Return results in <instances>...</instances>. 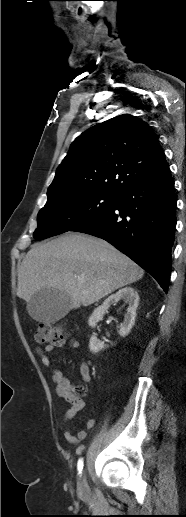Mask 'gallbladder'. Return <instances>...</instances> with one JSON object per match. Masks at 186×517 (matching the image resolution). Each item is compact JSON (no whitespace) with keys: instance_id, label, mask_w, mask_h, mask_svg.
<instances>
[{"instance_id":"gallbladder-1","label":"gallbladder","mask_w":186,"mask_h":517,"mask_svg":"<svg viewBox=\"0 0 186 517\" xmlns=\"http://www.w3.org/2000/svg\"><path fill=\"white\" fill-rule=\"evenodd\" d=\"M70 297L56 289H42L27 303L29 315L36 321L55 322L70 311Z\"/></svg>"}]
</instances>
